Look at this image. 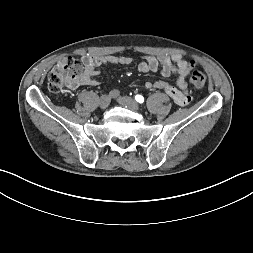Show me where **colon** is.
<instances>
[{
    "instance_id": "5ec220e1",
    "label": "colon",
    "mask_w": 253,
    "mask_h": 253,
    "mask_svg": "<svg viewBox=\"0 0 253 253\" xmlns=\"http://www.w3.org/2000/svg\"><path fill=\"white\" fill-rule=\"evenodd\" d=\"M84 72L83 65L73 57H65L58 61L48 76V89L52 93H60L71 86ZM189 84L201 88L206 83V76L200 70H194L189 76Z\"/></svg>"
}]
</instances>
